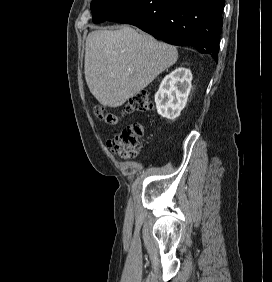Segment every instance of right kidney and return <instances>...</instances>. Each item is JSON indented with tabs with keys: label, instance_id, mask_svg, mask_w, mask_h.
Instances as JSON below:
<instances>
[{
	"label": "right kidney",
	"instance_id": "1",
	"mask_svg": "<svg viewBox=\"0 0 272 282\" xmlns=\"http://www.w3.org/2000/svg\"><path fill=\"white\" fill-rule=\"evenodd\" d=\"M192 73L178 67L162 80L155 94L157 112L164 118L175 120L186 106L191 90Z\"/></svg>",
	"mask_w": 272,
	"mask_h": 282
}]
</instances>
